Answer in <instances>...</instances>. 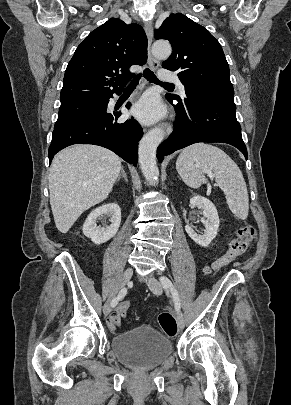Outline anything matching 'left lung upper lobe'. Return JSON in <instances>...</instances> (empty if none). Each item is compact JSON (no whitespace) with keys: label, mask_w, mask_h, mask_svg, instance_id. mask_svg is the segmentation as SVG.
<instances>
[{"label":"left lung upper lobe","mask_w":291,"mask_h":405,"mask_svg":"<svg viewBox=\"0 0 291 405\" xmlns=\"http://www.w3.org/2000/svg\"><path fill=\"white\" fill-rule=\"evenodd\" d=\"M154 37L170 41L173 53L162 66L171 71H178V77L185 89L233 88L221 45L203 26L181 13L171 14L160 28L155 30ZM167 96L181 100L177 95Z\"/></svg>","instance_id":"5c2ea615"}]
</instances>
